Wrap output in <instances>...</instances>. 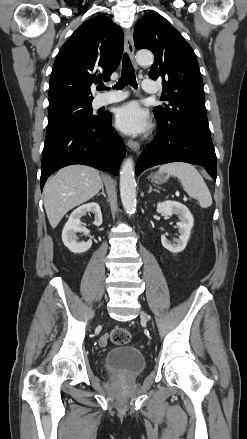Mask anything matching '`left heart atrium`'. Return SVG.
<instances>
[{
  "instance_id": "left-heart-atrium-1",
  "label": "left heart atrium",
  "mask_w": 247,
  "mask_h": 439,
  "mask_svg": "<svg viewBox=\"0 0 247 439\" xmlns=\"http://www.w3.org/2000/svg\"><path fill=\"white\" fill-rule=\"evenodd\" d=\"M116 126L124 133L137 135L145 133L149 128L148 113L138 103L130 102L116 112Z\"/></svg>"
}]
</instances>
